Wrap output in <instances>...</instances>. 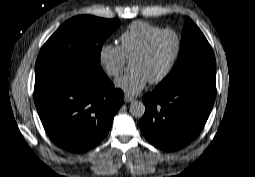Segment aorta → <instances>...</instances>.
I'll use <instances>...</instances> for the list:
<instances>
[{
	"label": "aorta",
	"instance_id": "1",
	"mask_svg": "<svg viewBox=\"0 0 255 177\" xmlns=\"http://www.w3.org/2000/svg\"><path fill=\"white\" fill-rule=\"evenodd\" d=\"M129 112L136 118H141L145 113V105L141 101H133L129 106Z\"/></svg>",
	"mask_w": 255,
	"mask_h": 177
}]
</instances>
